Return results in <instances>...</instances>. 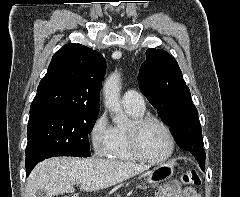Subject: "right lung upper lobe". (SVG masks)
Wrapping results in <instances>:
<instances>
[{
  "mask_svg": "<svg viewBox=\"0 0 240 197\" xmlns=\"http://www.w3.org/2000/svg\"><path fill=\"white\" fill-rule=\"evenodd\" d=\"M105 71L106 61L100 52L81 44H65L52 57L30 113L99 112V90Z\"/></svg>",
  "mask_w": 240,
  "mask_h": 197,
  "instance_id": "cb5924a9",
  "label": "right lung upper lobe"
}]
</instances>
